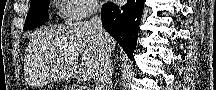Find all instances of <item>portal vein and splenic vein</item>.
Segmentation results:
<instances>
[{"label":"portal vein and splenic vein","mask_w":216,"mask_h":90,"mask_svg":"<svg viewBox=\"0 0 216 90\" xmlns=\"http://www.w3.org/2000/svg\"><path fill=\"white\" fill-rule=\"evenodd\" d=\"M82 78L83 80H88L89 76H87V74H83Z\"/></svg>","instance_id":"1"}]
</instances>
